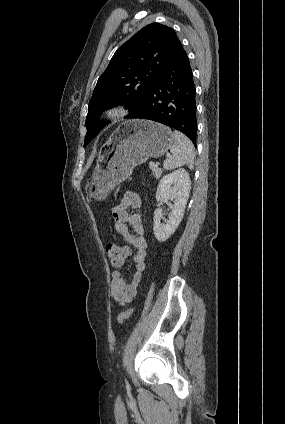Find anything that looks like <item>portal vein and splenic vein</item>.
<instances>
[{
  "mask_svg": "<svg viewBox=\"0 0 285 424\" xmlns=\"http://www.w3.org/2000/svg\"><path fill=\"white\" fill-rule=\"evenodd\" d=\"M149 166H150L151 168L156 167L155 163H153V162H151V163L149 164Z\"/></svg>",
  "mask_w": 285,
  "mask_h": 424,
  "instance_id": "portal-vein-and-splenic-vein-1",
  "label": "portal vein and splenic vein"
}]
</instances>
